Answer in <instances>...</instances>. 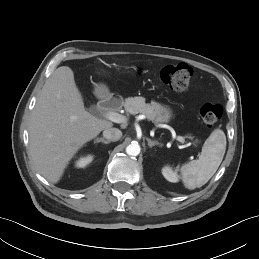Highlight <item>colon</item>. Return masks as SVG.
Masks as SVG:
<instances>
[{
  "label": "colon",
  "instance_id": "colon-1",
  "mask_svg": "<svg viewBox=\"0 0 259 259\" xmlns=\"http://www.w3.org/2000/svg\"><path fill=\"white\" fill-rule=\"evenodd\" d=\"M139 72V70L137 71ZM162 82L174 92L184 91L192 78V70L188 65L179 64L176 66H166L161 70ZM223 113L222 106L215 103H205L200 108V116L203 123L208 126H214Z\"/></svg>",
  "mask_w": 259,
  "mask_h": 259
}]
</instances>
